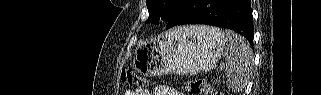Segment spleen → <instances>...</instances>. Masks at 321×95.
<instances>
[{"label":"spleen","mask_w":321,"mask_h":95,"mask_svg":"<svg viewBox=\"0 0 321 95\" xmlns=\"http://www.w3.org/2000/svg\"><path fill=\"white\" fill-rule=\"evenodd\" d=\"M202 33L220 36L224 40V57L226 59L227 85L234 91L242 90L249 80L253 55L249 43L244 37L233 31L221 32L214 27L201 26Z\"/></svg>","instance_id":"1"}]
</instances>
